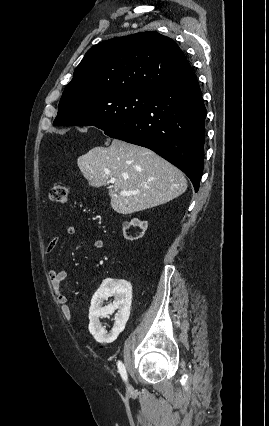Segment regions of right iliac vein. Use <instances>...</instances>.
Listing matches in <instances>:
<instances>
[{
	"label": "right iliac vein",
	"instance_id": "63e3f726",
	"mask_svg": "<svg viewBox=\"0 0 269 426\" xmlns=\"http://www.w3.org/2000/svg\"><path fill=\"white\" fill-rule=\"evenodd\" d=\"M127 389H128L129 391H131V390H132V387H131V385H130V384H127Z\"/></svg>",
	"mask_w": 269,
	"mask_h": 426
}]
</instances>
